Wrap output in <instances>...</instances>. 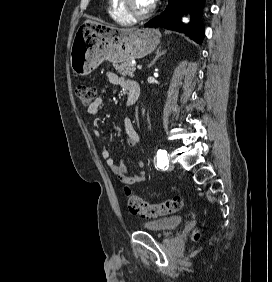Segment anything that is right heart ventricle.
<instances>
[{"label": "right heart ventricle", "mask_w": 272, "mask_h": 282, "mask_svg": "<svg viewBox=\"0 0 272 282\" xmlns=\"http://www.w3.org/2000/svg\"><path fill=\"white\" fill-rule=\"evenodd\" d=\"M109 12L111 17L120 24L130 25L133 22V19L121 9L119 0H110Z\"/></svg>", "instance_id": "e07e8e85"}]
</instances>
